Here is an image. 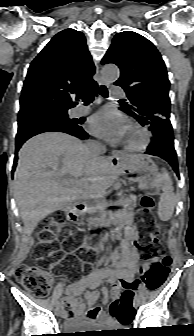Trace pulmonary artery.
Instances as JSON below:
<instances>
[{"mask_svg":"<svg viewBox=\"0 0 194 336\" xmlns=\"http://www.w3.org/2000/svg\"><path fill=\"white\" fill-rule=\"evenodd\" d=\"M111 95L112 97H124L125 94L121 87H115L113 88ZM89 110H90L89 107H79L75 109V114L76 115L86 114L89 112Z\"/></svg>","mask_w":194,"mask_h":336,"instance_id":"e3ab8cb5","label":"pulmonary artery"}]
</instances>
